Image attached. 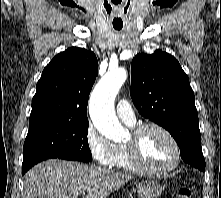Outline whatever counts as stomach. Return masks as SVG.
Returning <instances> with one entry per match:
<instances>
[{"label": "stomach", "instance_id": "obj_1", "mask_svg": "<svg viewBox=\"0 0 221 198\" xmlns=\"http://www.w3.org/2000/svg\"><path fill=\"white\" fill-rule=\"evenodd\" d=\"M136 188L139 198H159L162 194V187L153 180L136 183Z\"/></svg>", "mask_w": 221, "mask_h": 198}]
</instances>
